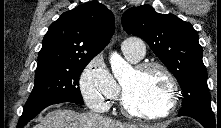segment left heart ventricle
Returning a JSON list of instances; mask_svg holds the SVG:
<instances>
[{
    "mask_svg": "<svg viewBox=\"0 0 221 128\" xmlns=\"http://www.w3.org/2000/svg\"><path fill=\"white\" fill-rule=\"evenodd\" d=\"M128 106L136 112H157L167 104L169 86L162 73L135 69L123 80Z\"/></svg>",
    "mask_w": 221,
    "mask_h": 128,
    "instance_id": "left-heart-ventricle-1",
    "label": "left heart ventricle"
}]
</instances>
